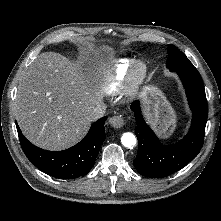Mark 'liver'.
I'll list each match as a JSON object with an SVG mask.
<instances>
[{
  "mask_svg": "<svg viewBox=\"0 0 221 221\" xmlns=\"http://www.w3.org/2000/svg\"><path fill=\"white\" fill-rule=\"evenodd\" d=\"M112 59L111 48L88 46L80 64H92L95 74L100 75ZM102 99L97 76H86L79 64L45 52L30 64L19 82L15 115L30 142L47 150H64L86 135L94 121L91 112Z\"/></svg>",
  "mask_w": 221,
  "mask_h": 221,
  "instance_id": "6515ba94",
  "label": "liver"
}]
</instances>
